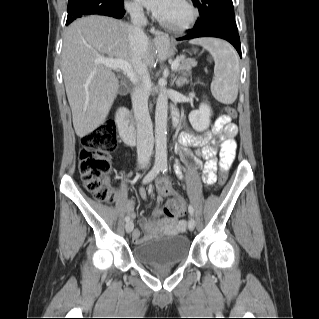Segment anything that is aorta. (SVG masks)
Here are the masks:
<instances>
[{"mask_svg": "<svg viewBox=\"0 0 319 319\" xmlns=\"http://www.w3.org/2000/svg\"><path fill=\"white\" fill-rule=\"evenodd\" d=\"M166 84L167 82L164 79L159 81L160 93L155 111V164L157 166H165L167 164L168 98Z\"/></svg>", "mask_w": 319, "mask_h": 319, "instance_id": "1", "label": "aorta"}]
</instances>
